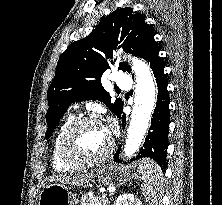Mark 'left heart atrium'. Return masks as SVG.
I'll use <instances>...</instances> for the list:
<instances>
[{"instance_id": "39dd6f15", "label": "left heart atrium", "mask_w": 222, "mask_h": 205, "mask_svg": "<svg viewBox=\"0 0 222 205\" xmlns=\"http://www.w3.org/2000/svg\"><path fill=\"white\" fill-rule=\"evenodd\" d=\"M105 130L109 133L110 125L104 126Z\"/></svg>"}]
</instances>
